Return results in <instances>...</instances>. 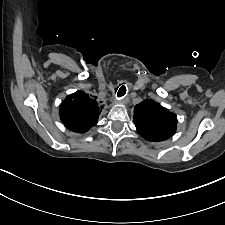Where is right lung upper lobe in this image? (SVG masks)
<instances>
[{
    "mask_svg": "<svg viewBox=\"0 0 225 225\" xmlns=\"http://www.w3.org/2000/svg\"><path fill=\"white\" fill-rule=\"evenodd\" d=\"M101 106L82 91H77L62 102L60 119L71 131L85 133L96 125Z\"/></svg>",
    "mask_w": 225,
    "mask_h": 225,
    "instance_id": "right-lung-upper-lobe-1",
    "label": "right lung upper lobe"
}]
</instances>
